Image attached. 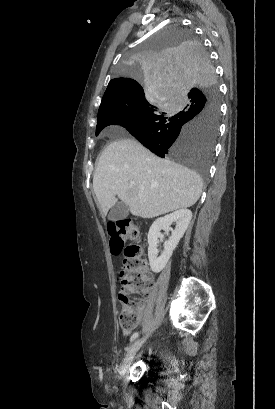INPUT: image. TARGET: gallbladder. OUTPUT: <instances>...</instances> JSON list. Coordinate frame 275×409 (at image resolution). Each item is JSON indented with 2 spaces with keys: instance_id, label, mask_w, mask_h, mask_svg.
<instances>
[{
  "instance_id": "bac80fb5",
  "label": "gallbladder",
  "mask_w": 275,
  "mask_h": 409,
  "mask_svg": "<svg viewBox=\"0 0 275 409\" xmlns=\"http://www.w3.org/2000/svg\"><path fill=\"white\" fill-rule=\"evenodd\" d=\"M128 215H129L128 205H125V202H116V205L112 207L108 215V221H122V219H126Z\"/></svg>"
}]
</instances>
